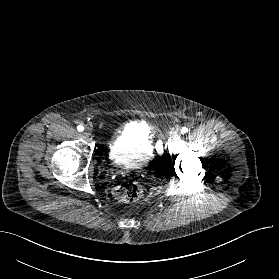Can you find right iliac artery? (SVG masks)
Masks as SVG:
<instances>
[{
    "label": "right iliac artery",
    "mask_w": 279,
    "mask_h": 279,
    "mask_svg": "<svg viewBox=\"0 0 279 279\" xmlns=\"http://www.w3.org/2000/svg\"><path fill=\"white\" fill-rule=\"evenodd\" d=\"M77 130L81 132V131L84 130V127H83L82 125H78V126H77Z\"/></svg>",
    "instance_id": "1"
}]
</instances>
